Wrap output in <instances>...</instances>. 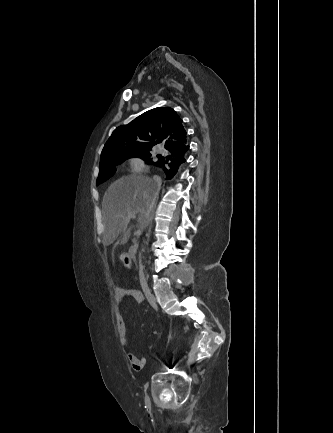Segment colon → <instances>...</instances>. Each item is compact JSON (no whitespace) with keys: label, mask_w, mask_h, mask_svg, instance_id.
<instances>
[{"label":"colon","mask_w":333,"mask_h":433,"mask_svg":"<svg viewBox=\"0 0 333 433\" xmlns=\"http://www.w3.org/2000/svg\"><path fill=\"white\" fill-rule=\"evenodd\" d=\"M120 263L123 264L126 268H130L131 267V262L129 260L128 257H121L120 258Z\"/></svg>","instance_id":"obj_1"}]
</instances>
